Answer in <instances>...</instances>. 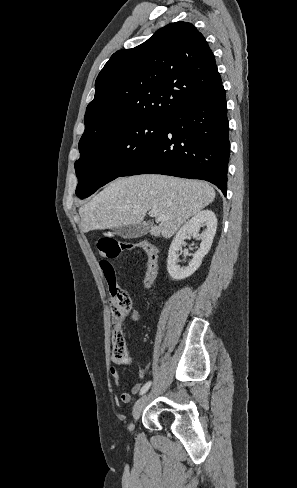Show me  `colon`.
<instances>
[{
	"mask_svg": "<svg viewBox=\"0 0 297 488\" xmlns=\"http://www.w3.org/2000/svg\"><path fill=\"white\" fill-rule=\"evenodd\" d=\"M134 248H141L148 257L145 286L151 289L155 283L158 267V250L153 245L149 243H126L109 236L101 238L98 242V249L103 256V259L100 260V267L110 288V305L115 319L112 336V360L119 364L129 362L127 344L120 327L121 320L130 312L131 300L128 292L117 286L116 271L109 259L116 258L121 252Z\"/></svg>",
	"mask_w": 297,
	"mask_h": 488,
	"instance_id": "obj_1",
	"label": "colon"
}]
</instances>
